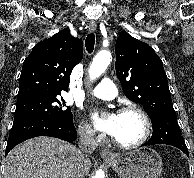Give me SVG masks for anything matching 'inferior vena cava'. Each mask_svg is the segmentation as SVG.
Here are the masks:
<instances>
[{"instance_id":"1","label":"inferior vena cava","mask_w":194,"mask_h":178,"mask_svg":"<svg viewBox=\"0 0 194 178\" xmlns=\"http://www.w3.org/2000/svg\"><path fill=\"white\" fill-rule=\"evenodd\" d=\"M96 148L97 142L95 140L94 134L87 130H82L80 132L79 140L80 161L72 175V178H84L85 164L89 160L88 156L89 154L93 153Z\"/></svg>"}]
</instances>
